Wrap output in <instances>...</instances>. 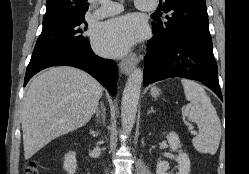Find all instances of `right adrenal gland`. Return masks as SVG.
Instances as JSON below:
<instances>
[{
    "label": "right adrenal gland",
    "instance_id": "2a0ac1e0",
    "mask_svg": "<svg viewBox=\"0 0 249 174\" xmlns=\"http://www.w3.org/2000/svg\"><path fill=\"white\" fill-rule=\"evenodd\" d=\"M101 108L103 111L102 119H103V123H104L105 122V107L102 103H101ZM91 134L93 135V137H96L98 135L94 130H91Z\"/></svg>",
    "mask_w": 249,
    "mask_h": 174
}]
</instances>
